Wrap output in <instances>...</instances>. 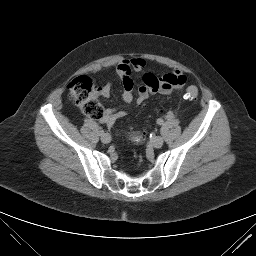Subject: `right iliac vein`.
I'll use <instances>...</instances> for the list:
<instances>
[{
    "label": "right iliac vein",
    "instance_id": "1",
    "mask_svg": "<svg viewBox=\"0 0 256 256\" xmlns=\"http://www.w3.org/2000/svg\"><path fill=\"white\" fill-rule=\"evenodd\" d=\"M101 141L105 144L109 143L111 141V136L107 133L101 136Z\"/></svg>",
    "mask_w": 256,
    "mask_h": 256
}]
</instances>
